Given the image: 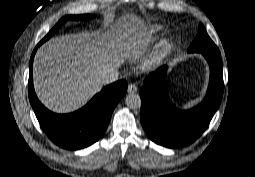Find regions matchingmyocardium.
I'll use <instances>...</instances> for the list:
<instances>
[{
	"instance_id": "obj_1",
	"label": "myocardium",
	"mask_w": 255,
	"mask_h": 177,
	"mask_svg": "<svg viewBox=\"0 0 255 177\" xmlns=\"http://www.w3.org/2000/svg\"><path fill=\"white\" fill-rule=\"evenodd\" d=\"M167 50V46H163L157 49V51H155L143 61L141 64V69L143 71H149L156 68L161 62L162 58L165 56Z\"/></svg>"
}]
</instances>
